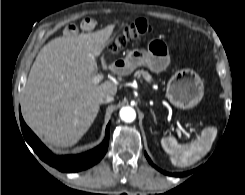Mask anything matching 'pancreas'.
<instances>
[{
	"label": "pancreas",
	"instance_id": "1",
	"mask_svg": "<svg viewBox=\"0 0 245 195\" xmlns=\"http://www.w3.org/2000/svg\"><path fill=\"white\" fill-rule=\"evenodd\" d=\"M134 75L136 77L142 76L147 82H151V80H152L151 75L148 72L144 71V70H138L137 72H135Z\"/></svg>",
	"mask_w": 245,
	"mask_h": 195
}]
</instances>
